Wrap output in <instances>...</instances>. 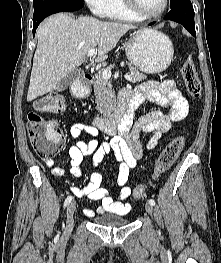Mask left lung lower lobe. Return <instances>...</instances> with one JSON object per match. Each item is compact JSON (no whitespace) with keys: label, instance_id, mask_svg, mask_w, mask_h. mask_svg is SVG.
Here are the masks:
<instances>
[{"label":"left lung lower lobe","instance_id":"1","mask_svg":"<svg viewBox=\"0 0 221 263\" xmlns=\"http://www.w3.org/2000/svg\"><path fill=\"white\" fill-rule=\"evenodd\" d=\"M164 19L182 24L194 37H196L194 10L191 2L177 7H171V11L167 13ZM152 24L154 23H151L150 25Z\"/></svg>","mask_w":221,"mask_h":263}]
</instances>
